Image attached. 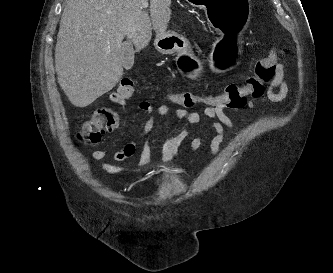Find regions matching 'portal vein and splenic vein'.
I'll use <instances>...</instances> for the list:
<instances>
[{
    "label": "portal vein and splenic vein",
    "mask_w": 333,
    "mask_h": 273,
    "mask_svg": "<svg viewBox=\"0 0 333 273\" xmlns=\"http://www.w3.org/2000/svg\"><path fill=\"white\" fill-rule=\"evenodd\" d=\"M147 7H148V2H147V0H144L142 2L141 8H147Z\"/></svg>",
    "instance_id": "obj_1"
}]
</instances>
